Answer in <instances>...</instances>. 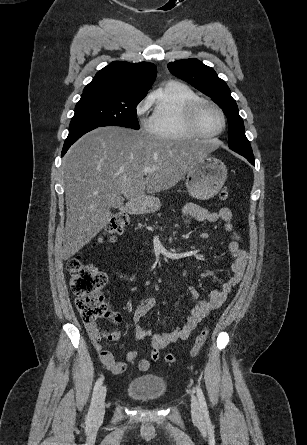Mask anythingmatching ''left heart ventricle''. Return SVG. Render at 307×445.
I'll return each mask as SVG.
<instances>
[{"instance_id": "obj_1", "label": "left heart ventricle", "mask_w": 307, "mask_h": 445, "mask_svg": "<svg viewBox=\"0 0 307 445\" xmlns=\"http://www.w3.org/2000/svg\"><path fill=\"white\" fill-rule=\"evenodd\" d=\"M199 118L201 125L208 133L215 134L224 128L221 112L211 105H203L201 107Z\"/></svg>"}]
</instances>
